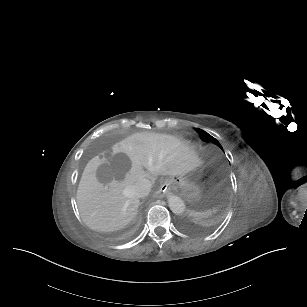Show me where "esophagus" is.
I'll return each mask as SVG.
<instances>
[{"mask_svg": "<svg viewBox=\"0 0 307 307\" xmlns=\"http://www.w3.org/2000/svg\"><path fill=\"white\" fill-rule=\"evenodd\" d=\"M170 190H171V189L168 187V188L164 191V194L170 192Z\"/></svg>", "mask_w": 307, "mask_h": 307, "instance_id": "1", "label": "esophagus"}]
</instances>
